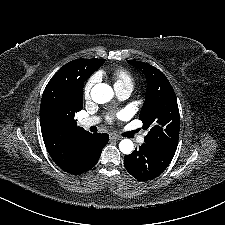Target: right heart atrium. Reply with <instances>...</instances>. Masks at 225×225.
I'll return each instance as SVG.
<instances>
[{
    "mask_svg": "<svg viewBox=\"0 0 225 225\" xmlns=\"http://www.w3.org/2000/svg\"><path fill=\"white\" fill-rule=\"evenodd\" d=\"M98 81V77L96 75L91 76L85 83L84 89H83V95L85 98H88L90 96L92 88L95 86V84Z\"/></svg>",
    "mask_w": 225,
    "mask_h": 225,
    "instance_id": "d8ad5b80",
    "label": "right heart atrium"
}]
</instances>
